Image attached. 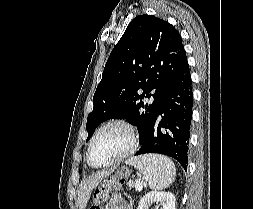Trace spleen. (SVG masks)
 I'll return each mask as SVG.
<instances>
[{
  "label": "spleen",
  "instance_id": "3e777b00",
  "mask_svg": "<svg viewBox=\"0 0 253 209\" xmlns=\"http://www.w3.org/2000/svg\"><path fill=\"white\" fill-rule=\"evenodd\" d=\"M127 164L133 165L148 181L153 190L167 188L175 179L176 169L173 161L159 154H145L130 158Z\"/></svg>",
  "mask_w": 253,
  "mask_h": 209
}]
</instances>
